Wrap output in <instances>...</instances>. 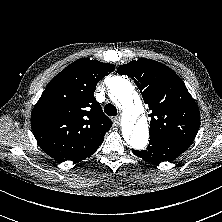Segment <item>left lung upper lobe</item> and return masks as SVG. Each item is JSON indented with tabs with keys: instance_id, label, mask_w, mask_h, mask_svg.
<instances>
[{
	"instance_id": "obj_1",
	"label": "left lung upper lobe",
	"mask_w": 222,
	"mask_h": 222,
	"mask_svg": "<svg viewBox=\"0 0 222 222\" xmlns=\"http://www.w3.org/2000/svg\"><path fill=\"white\" fill-rule=\"evenodd\" d=\"M117 73L131 77L148 104L150 137L194 140L200 126L199 108L173 70L141 58L121 65Z\"/></svg>"
}]
</instances>
